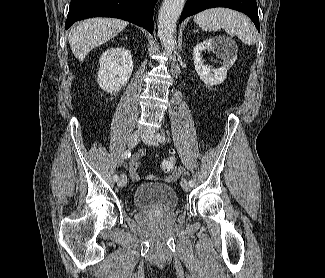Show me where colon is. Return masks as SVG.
Listing matches in <instances>:
<instances>
[{
	"mask_svg": "<svg viewBox=\"0 0 325 278\" xmlns=\"http://www.w3.org/2000/svg\"><path fill=\"white\" fill-rule=\"evenodd\" d=\"M161 169L165 174L170 175L175 169V160L173 158L165 159L161 163ZM167 180H169V177H167Z\"/></svg>",
	"mask_w": 325,
	"mask_h": 278,
	"instance_id": "obj_1",
	"label": "colon"
}]
</instances>
